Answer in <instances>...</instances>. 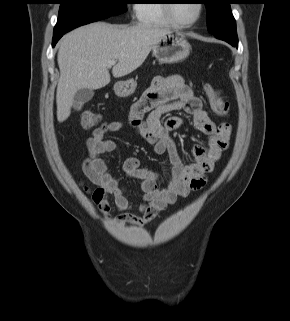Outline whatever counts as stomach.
<instances>
[{
	"label": "stomach",
	"instance_id": "obj_1",
	"mask_svg": "<svg viewBox=\"0 0 290 321\" xmlns=\"http://www.w3.org/2000/svg\"><path fill=\"white\" fill-rule=\"evenodd\" d=\"M191 46L185 36L179 33L164 35L152 48L154 57L160 63H177L186 59L190 54ZM137 86L133 79L118 81L114 85V91L119 97L131 95Z\"/></svg>",
	"mask_w": 290,
	"mask_h": 321
}]
</instances>
